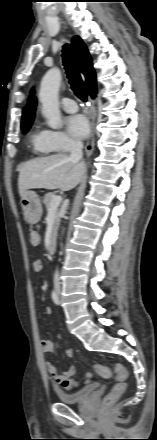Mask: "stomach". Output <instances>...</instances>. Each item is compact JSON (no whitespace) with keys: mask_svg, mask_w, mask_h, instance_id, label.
I'll list each match as a JSON object with an SVG mask.
<instances>
[{"mask_svg":"<svg viewBox=\"0 0 157 440\" xmlns=\"http://www.w3.org/2000/svg\"><path fill=\"white\" fill-rule=\"evenodd\" d=\"M21 207L25 220L29 224H36L42 216V204L38 195L33 191H26L21 197Z\"/></svg>","mask_w":157,"mask_h":440,"instance_id":"obj_1","label":"stomach"}]
</instances>
